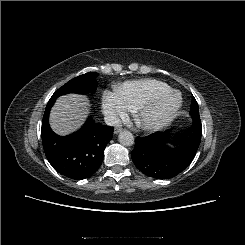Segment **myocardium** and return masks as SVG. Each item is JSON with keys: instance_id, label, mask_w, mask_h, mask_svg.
<instances>
[{"instance_id": "myocardium-1", "label": "myocardium", "mask_w": 245, "mask_h": 245, "mask_svg": "<svg viewBox=\"0 0 245 245\" xmlns=\"http://www.w3.org/2000/svg\"><path fill=\"white\" fill-rule=\"evenodd\" d=\"M173 96H178V101L173 107L164 113L149 116L150 112H152L160 103ZM182 102V95L177 90H170L165 93L157 94L134 108L133 113L135 123L138 127L146 131L159 130L177 115L182 106Z\"/></svg>"}]
</instances>
